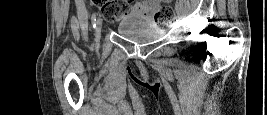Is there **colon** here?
Returning <instances> with one entry per match:
<instances>
[{"label":"colon","mask_w":267,"mask_h":115,"mask_svg":"<svg viewBox=\"0 0 267 115\" xmlns=\"http://www.w3.org/2000/svg\"><path fill=\"white\" fill-rule=\"evenodd\" d=\"M129 12V2L126 0L107 1L102 4L100 14L107 22H117L124 18ZM154 18L161 23H168L176 20V11L170 5L159 6Z\"/></svg>","instance_id":"obj_1"}]
</instances>
